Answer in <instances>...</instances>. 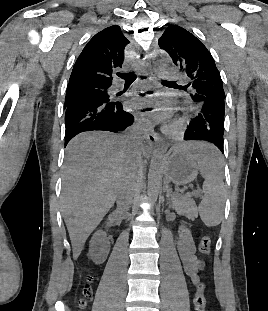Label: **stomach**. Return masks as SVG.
Returning a JSON list of instances; mask_svg holds the SVG:
<instances>
[{
  "instance_id": "obj_1",
  "label": "stomach",
  "mask_w": 268,
  "mask_h": 311,
  "mask_svg": "<svg viewBox=\"0 0 268 311\" xmlns=\"http://www.w3.org/2000/svg\"><path fill=\"white\" fill-rule=\"evenodd\" d=\"M166 179L176 185H186L197 178L198 166L192 156V147H173L161 159Z\"/></svg>"
}]
</instances>
